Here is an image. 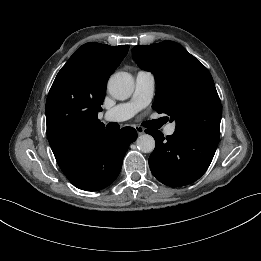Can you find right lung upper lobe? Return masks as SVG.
<instances>
[{
    "label": "right lung upper lobe",
    "instance_id": "obj_1",
    "mask_svg": "<svg viewBox=\"0 0 261 261\" xmlns=\"http://www.w3.org/2000/svg\"><path fill=\"white\" fill-rule=\"evenodd\" d=\"M129 46L82 45L62 67L49 91L45 113L47 137L63 173L77 166L105 132L97 118L107 81Z\"/></svg>",
    "mask_w": 261,
    "mask_h": 261
}]
</instances>
